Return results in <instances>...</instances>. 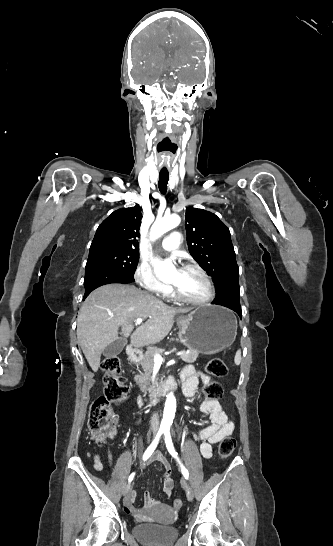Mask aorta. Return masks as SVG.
<instances>
[{
	"label": "aorta",
	"instance_id": "762f6f07",
	"mask_svg": "<svg viewBox=\"0 0 333 546\" xmlns=\"http://www.w3.org/2000/svg\"><path fill=\"white\" fill-rule=\"evenodd\" d=\"M181 222L179 215L171 214L161 219H156L150 230V238L152 240L158 239L164 233L177 227ZM154 272L156 276L165 281L172 278L175 272V266L171 261H160L155 259L152 261ZM176 411V399L173 392L169 393L166 398L164 414L161 426L163 428H170Z\"/></svg>",
	"mask_w": 333,
	"mask_h": 546
}]
</instances>
